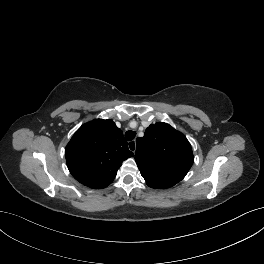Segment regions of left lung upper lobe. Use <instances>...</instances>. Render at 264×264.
I'll list each match as a JSON object with an SVG mask.
<instances>
[{
  "instance_id": "1",
  "label": "left lung upper lobe",
  "mask_w": 264,
  "mask_h": 264,
  "mask_svg": "<svg viewBox=\"0 0 264 264\" xmlns=\"http://www.w3.org/2000/svg\"><path fill=\"white\" fill-rule=\"evenodd\" d=\"M136 144L135 161L142 176L164 174L178 183L193 164L189 141L169 124L150 125Z\"/></svg>"
}]
</instances>
